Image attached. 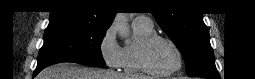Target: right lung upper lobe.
I'll return each instance as SVG.
<instances>
[{
  "label": "right lung upper lobe",
  "instance_id": "cb5924a9",
  "mask_svg": "<svg viewBox=\"0 0 255 79\" xmlns=\"http://www.w3.org/2000/svg\"><path fill=\"white\" fill-rule=\"evenodd\" d=\"M50 14V23H71L76 25L109 28L115 12L104 11L106 3L100 0H65Z\"/></svg>",
  "mask_w": 255,
  "mask_h": 79
}]
</instances>
